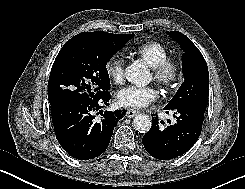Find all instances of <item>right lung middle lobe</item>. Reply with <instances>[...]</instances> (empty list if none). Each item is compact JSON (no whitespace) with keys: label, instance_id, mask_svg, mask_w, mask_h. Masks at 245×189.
Wrapping results in <instances>:
<instances>
[{"label":"right lung middle lobe","instance_id":"dd1d6c3e","mask_svg":"<svg viewBox=\"0 0 245 189\" xmlns=\"http://www.w3.org/2000/svg\"><path fill=\"white\" fill-rule=\"evenodd\" d=\"M114 42L103 36L84 32L72 37L58 53L48 82L50 105L93 97L110 89L107 62L131 39Z\"/></svg>","mask_w":245,"mask_h":189}]
</instances>
